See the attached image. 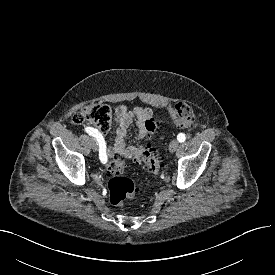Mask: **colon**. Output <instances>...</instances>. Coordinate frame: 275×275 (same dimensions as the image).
I'll list each match as a JSON object with an SVG mask.
<instances>
[{
  "instance_id": "colon-1",
  "label": "colon",
  "mask_w": 275,
  "mask_h": 275,
  "mask_svg": "<svg viewBox=\"0 0 275 275\" xmlns=\"http://www.w3.org/2000/svg\"><path fill=\"white\" fill-rule=\"evenodd\" d=\"M169 112L174 124L179 128H187L194 121V111L185 102L175 103L170 107ZM72 122L77 125L85 122L92 123L102 133H105L111 127L112 110L106 104H89L73 115ZM147 126L153 133L156 128L154 121H148ZM135 159L149 172L157 173L162 168L160 158L150 146L139 150L135 155ZM107 170L110 175L108 190L111 204L122 206L127 200L135 198L137 188L134 182L123 174L124 162L121 159H114L109 163Z\"/></svg>"
}]
</instances>
